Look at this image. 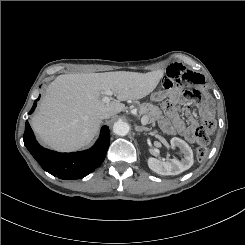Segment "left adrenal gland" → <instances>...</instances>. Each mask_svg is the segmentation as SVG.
<instances>
[{
  "instance_id": "a2214340",
  "label": "left adrenal gland",
  "mask_w": 245,
  "mask_h": 245,
  "mask_svg": "<svg viewBox=\"0 0 245 245\" xmlns=\"http://www.w3.org/2000/svg\"><path fill=\"white\" fill-rule=\"evenodd\" d=\"M135 130H136L137 132L150 131L149 128H147V127H142V126H135Z\"/></svg>"
}]
</instances>
